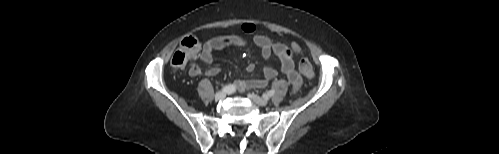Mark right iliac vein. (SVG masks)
<instances>
[{"mask_svg": "<svg viewBox=\"0 0 499 154\" xmlns=\"http://www.w3.org/2000/svg\"><path fill=\"white\" fill-rule=\"evenodd\" d=\"M225 96H226V93H225V92L219 91V92H217V93L215 94V99H216V100H221V99L225 98Z\"/></svg>", "mask_w": 499, "mask_h": 154, "instance_id": "1", "label": "right iliac vein"}]
</instances>
